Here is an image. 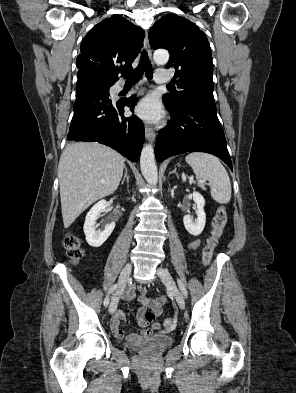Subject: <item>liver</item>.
I'll return each mask as SVG.
<instances>
[{"instance_id": "1", "label": "liver", "mask_w": 296, "mask_h": 393, "mask_svg": "<svg viewBox=\"0 0 296 393\" xmlns=\"http://www.w3.org/2000/svg\"><path fill=\"white\" fill-rule=\"evenodd\" d=\"M124 166L122 155L97 142L67 145L58 165L65 228L91 204L116 191Z\"/></svg>"}]
</instances>
